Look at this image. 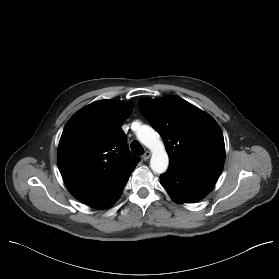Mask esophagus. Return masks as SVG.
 Wrapping results in <instances>:
<instances>
[{
  "instance_id": "1",
  "label": "esophagus",
  "mask_w": 279,
  "mask_h": 279,
  "mask_svg": "<svg viewBox=\"0 0 279 279\" xmlns=\"http://www.w3.org/2000/svg\"><path fill=\"white\" fill-rule=\"evenodd\" d=\"M150 156H151V153H150L149 151H146V152L144 153V155L142 156V159H143L144 161H147V160L150 158Z\"/></svg>"
}]
</instances>
